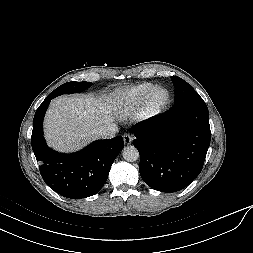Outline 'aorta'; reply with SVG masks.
Instances as JSON below:
<instances>
[{
	"label": "aorta",
	"instance_id": "aorta-1",
	"mask_svg": "<svg viewBox=\"0 0 253 253\" xmlns=\"http://www.w3.org/2000/svg\"><path fill=\"white\" fill-rule=\"evenodd\" d=\"M123 158L128 162H134L139 159V151L134 146H126L122 150Z\"/></svg>",
	"mask_w": 253,
	"mask_h": 253
}]
</instances>
